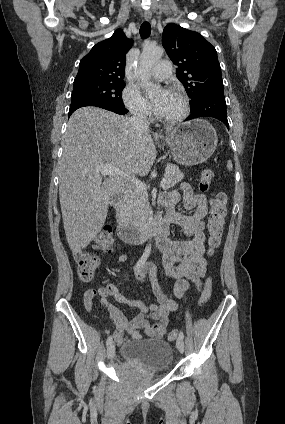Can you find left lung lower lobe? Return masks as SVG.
I'll list each match as a JSON object with an SVG mask.
<instances>
[{
    "mask_svg": "<svg viewBox=\"0 0 285 424\" xmlns=\"http://www.w3.org/2000/svg\"><path fill=\"white\" fill-rule=\"evenodd\" d=\"M199 117H213L222 121L229 129L226 113V102L223 91H213L202 95L193 105L191 114L186 119L191 120Z\"/></svg>",
    "mask_w": 285,
    "mask_h": 424,
    "instance_id": "obj_1",
    "label": "left lung lower lobe"
}]
</instances>
